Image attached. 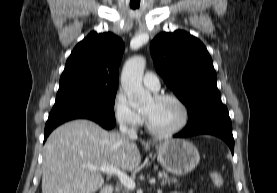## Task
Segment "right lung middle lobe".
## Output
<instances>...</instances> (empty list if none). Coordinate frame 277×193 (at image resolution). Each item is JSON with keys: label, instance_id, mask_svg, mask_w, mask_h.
Returning <instances> with one entry per match:
<instances>
[{"label": "right lung middle lobe", "instance_id": "right-lung-middle-lobe-1", "mask_svg": "<svg viewBox=\"0 0 277 193\" xmlns=\"http://www.w3.org/2000/svg\"><path fill=\"white\" fill-rule=\"evenodd\" d=\"M117 88L82 86L58 91L54 107H75L94 111L115 120Z\"/></svg>", "mask_w": 277, "mask_h": 193}]
</instances>
